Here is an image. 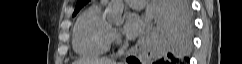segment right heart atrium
Here are the masks:
<instances>
[{
	"label": "right heart atrium",
	"mask_w": 242,
	"mask_h": 64,
	"mask_svg": "<svg viewBox=\"0 0 242 64\" xmlns=\"http://www.w3.org/2000/svg\"><path fill=\"white\" fill-rule=\"evenodd\" d=\"M109 36H110V41L111 42L118 43L121 40V35H120L119 31L117 29H115V28H112L110 30V35Z\"/></svg>",
	"instance_id": "1"
}]
</instances>
